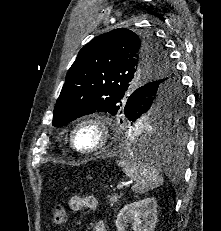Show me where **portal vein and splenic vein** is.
Returning a JSON list of instances; mask_svg holds the SVG:
<instances>
[{
  "label": "portal vein and splenic vein",
  "mask_w": 221,
  "mask_h": 231,
  "mask_svg": "<svg viewBox=\"0 0 221 231\" xmlns=\"http://www.w3.org/2000/svg\"><path fill=\"white\" fill-rule=\"evenodd\" d=\"M122 188H123V184L122 183H120V184L117 185V189L118 190H121Z\"/></svg>",
  "instance_id": "portal-vein-and-splenic-vein-1"
}]
</instances>
